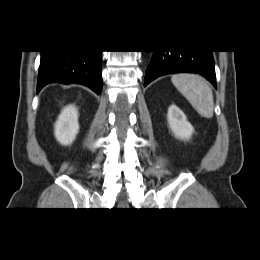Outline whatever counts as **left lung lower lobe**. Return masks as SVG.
Here are the masks:
<instances>
[{"label":"left lung lower lobe","mask_w":260,"mask_h":260,"mask_svg":"<svg viewBox=\"0 0 260 260\" xmlns=\"http://www.w3.org/2000/svg\"><path fill=\"white\" fill-rule=\"evenodd\" d=\"M197 73L216 88L214 60L211 51H154L146 70L144 86L154 79L172 73Z\"/></svg>","instance_id":"1"}]
</instances>
